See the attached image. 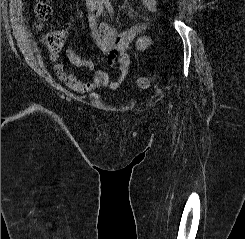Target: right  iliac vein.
I'll return each instance as SVG.
<instances>
[{"instance_id": "right-iliac-vein-1", "label": "right iliac vein", "mask_w": 245, "mask_h": 239, "mask_svg": "<svg viewBox=\"0 0 245 239\" xmlns=\"http://www.w3.org/2000/svg\"><path fill=\"white\" fill-rule=\"evenodd\" d=\"M94 8H95V6L92 5V4H90V5L88 6L89 11H91V12L94 10Z\"/></svg>"}]
</instances>
